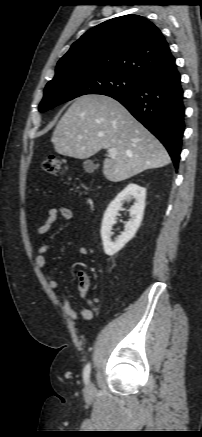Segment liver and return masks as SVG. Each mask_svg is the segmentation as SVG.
<instances>
[{"mask_svg": "<svg viewBox=\"0 0 202 437\" xmlns=\"http://www.w3.org/2000/svg\"><path fill=\"white\" fill-rule=\"evenodd\" d=\"M57 153L86 159L101 149L116 156L103 163V174L120 182L171 162L159 140L118 101L105 95L77 98L57 124L51 139Z\"/></svg>", "mask_w": 202, "mask_h": 437, "instance_id": "obj_1", "label": "liver"}]
</instances>
